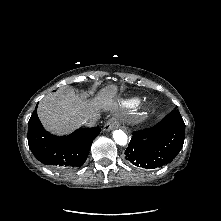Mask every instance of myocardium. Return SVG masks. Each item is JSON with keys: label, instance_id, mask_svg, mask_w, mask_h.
Masks as SVG:
<instances>
[{"label": "myocardium", "instance_id": "obj_1", "mask_svg": "<svg viewBox=\"0 0 221 221\" xmlns=\"http://www.w3.org/2000/svg\"><path fill=\"white\" fill-rule=\"evenodd\" d=\"M149 110V105L147 104H139L136 108H135V115L137 117H141L144 116Z\"/></svg>", "mask_w": 221, "mask_h": 221}]
</instances>
